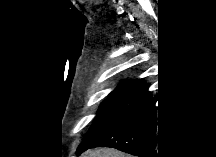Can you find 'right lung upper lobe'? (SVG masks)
Here are the masks:
<instances>
[{"instance_id":"obj_1","label":"right lung upper lobe","mask_w":216,"mask_h":157,"mask_svg":"<svg viewBox=\"0 0 216 157\" xmlns=\"http://www.w3.org/2000/svg\"><path fill=\"white\" fill-rule=\"evenodd\" d=\"M148 87L146 83H144L141 79L136 80H126L121 82L110 94L130 91V92H138L144 88Z\"/></svg>"}]
</instances>
